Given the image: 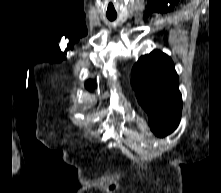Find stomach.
I'll return each mask as SVG.
<instances>
[{"mask_svg":"<svg viewBox=\"0 0 221 193\" xmlns=\"http://www.w3.org/2000/svg\"><path fill=\"white\" fill-rule=\"evenodd\" d=\"M118 103L119 107H122L123 109H134V104H130V102H125V98H118ZM127 114L129 113L128 111L126 112ZM137 125H143L144 121L143 120H137L136 121ZM138 134H147L148 130L147 129H138L137 130ZM151 138H160L161 134L160 133H151L150 134Z\"/></svg>","mask_w":221,"mask_h":193,"instance_id":"stomach-1","label":"stomach"}]
</instances>
